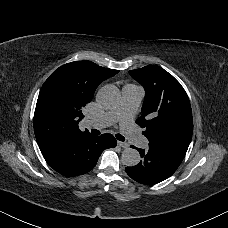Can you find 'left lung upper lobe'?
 <instances>
[{
    "mask_svg": "<svg viewBox=\"0 0 228 228\" xmlns=\"http://www.w3.org/2000/svg\"><path fill=\"white\" fill-rule=\"evenodd\" d=\"M145 89L142 115L136 123L149 142L187 151L193 132L192 110L182 85L159 66L129 71Z\"/></svg>",
    "mask_w": 228,
    "mask_h": 228,
    "instance_id": "1",
    "label": "left lung upper lobe"
}]
</instances>
